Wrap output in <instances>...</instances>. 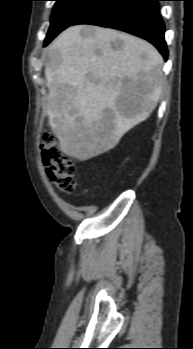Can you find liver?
<instances>
[{
    "label": "liver",
    "mask_w": 193,
    "mask_h": 349,
    "mask_svg": "<svg viewBox=\"0 0 193 349\" xmlns=\"http://www.w3.org/2000/svg\"><path fill=\"white\" fill-rule=\"evenodd\" d=\"M115 40L120 49L112 47ZM47 55L49 125L60 149L80 161L114 148L158 103L163 58L143 39L77 25L63 31ZM120 100L130 109L120 110Z\"/></svg>",
    "instance_id": "6515ba94"
}]
</instances>
